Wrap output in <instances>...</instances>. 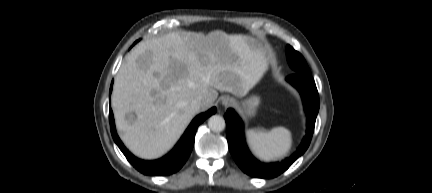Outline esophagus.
Wrapping results in <instances>:
<instances>
[{
    "instance_id": "1",
    "label": "esophagus",
    "mask_w": 432,
    "mask_h": 193,
    "mask_svg": "<svg viewBox=\"0 0 432 193\" xmlns=\"http://www.w3.org/2000/svg\"><path fill=\"white\" fill-rule=\"evenodd\" d=\"M233 102H234L233 99L230 98V97H224V98L222 99V104H223L224 106L232 105Z\"/></svg>"
}]
</instances>
